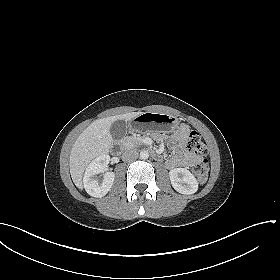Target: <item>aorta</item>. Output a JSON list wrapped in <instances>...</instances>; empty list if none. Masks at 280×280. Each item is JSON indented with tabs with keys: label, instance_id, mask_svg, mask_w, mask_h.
Listing matches in <instances>:
<instances>
[{
	"label": "aorta",
	"instance_id": "aorta-1",
	"mask_svg": "<svg viewBox=\"0 0 280 280\" xmlns=\"http://www.w3.org/2000/svg\"><path fill=\"white\" fill-rule=\"evenodd\" d=\"M148 157H149V153H148V151H141L140 152V158L141 159H143V160H146V159H148Z\"/></svg>",
	"mask_w": 280,
	"mask_h": 280
}]
</instances>
